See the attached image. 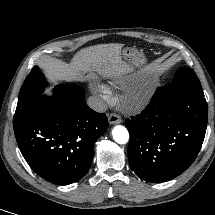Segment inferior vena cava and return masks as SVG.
<instances>
[{
	"instance_id": "inferior-vena-cava-1",
	"label": "inferior vena cava",
	"mask_w": 215,
	"mask_h": 215,
	"mask_svg": "<svg viewBox=\"0 0 215 215\" xmlns=\"http://www.w3.org/2000/svg\"><path fill=\"white\" fill-rule=\"evenodd\" d=\"M87 104L90 108L98 112H105L107 110V104L96 96L89 97L87 100Z\"/></svg>"
}]
</instances>
